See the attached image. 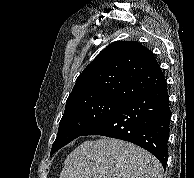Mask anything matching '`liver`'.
<instances>
[{
	"mask_svg": "<svg viewBox=\"0 0 194 178\" xmlns=\"http://www.w3.org/2000/svg\"><path fill=\"white\" fill-rule=\"evenodd\" d=\"M60 178H163L161 163L141 147L114 138L85 141L66 158Z\"/></svg>",
	"mask_w": 194,
	"mask_h": 178,
	"instance_id": "liver-1",
	"label": "liver"
}]
</instances>
